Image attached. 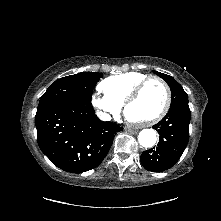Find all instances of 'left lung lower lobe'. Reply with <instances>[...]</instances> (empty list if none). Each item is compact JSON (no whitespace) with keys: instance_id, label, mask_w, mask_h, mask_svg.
<instances>
[{"instance_id":"1","label":"left lung lower lobe","mask_w":221,"mask_h":221,"mask_svg":"<svg viewBox=\"0 0 221 221\" xmlns=\"http://www.w3.org/2000/svg\"><path fill=\"white\" fill-rule=\"evenodd\" d=\"M189 123L188 104L170 107L166 116L153 126L160 135L157 147L144 151L140 157L146 170L162 172L177 163L189 140Z\"/></svg>"}]
</instances>
